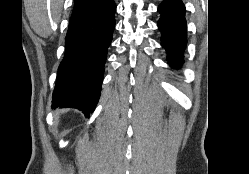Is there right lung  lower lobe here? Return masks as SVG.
Returning a JSON list of instances; mask_svg holds the SVG:
<instances>
[{
    "label": "right lung lower lobe",
    "instance_id": "obj_1",
    "mask_svg": "<svg viewBox=\"0 0 249 174\" xmlns=\"http://www.w3.org/2000/svg\"><path fill=\"white\" fill-rule=\"evenodd\" d=\"M115 12L114 0H96L73 9L65 38V56L53 93V107L77 108L87 117L94 111L115 28Z\"/></svg>",
    "mask_w": 249,
    "mask_h": 174
}]
</instances>
